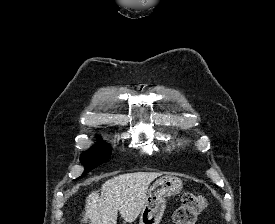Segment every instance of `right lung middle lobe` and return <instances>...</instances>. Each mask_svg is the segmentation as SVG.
Listing matches in <instances>:
<instances>
[{"mask_svg":"<svg viewBox=\"0 0 275 224\" xmlns=\"http://www.w3.org/2000/svg\"><path fill=\"white\" fill-rule=\"evenodd\" d=\"M111 150L109 148L96 147L92 150L84 152L80 161L85 166V171L81 177L85 176L90 170L104 163L110 157ZM79 177V178H81Z\"/></svg>","mask_w":275,"mask_h":224,"instance_id":"obj_1","label":"right lung middle lobe"}]
</instances>
